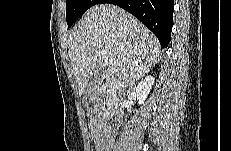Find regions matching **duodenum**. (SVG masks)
Instances as JSON below:
<instances>
[{
    "label": "duodenum",
    "instance_id": "duodenum-1",
    "mask_svg": "<svg viewBox=\"0 0 231 151\" xmlns=\"http://www.w3.org/2000/svg\"><path fill=\"white\" fill-rule=\"evenodd\" d=\"M108 89H109V84H108L107 80L98 81V83H97V91L99 93H103ZM122 115H123L122 109L120 107H116V108L113 109L112 114L107 115V117L109 118V120H114L116 122H119L122 119Z\"/></svg>",
    "mask_w": 231,
    "mask_h": 151
}]
</instances>
